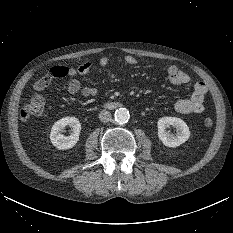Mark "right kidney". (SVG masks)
Here are the masks:
<instances>
[{"label": "right kidney", "instance_id": "1", "mask_svg": "<svg viewBox=\"0 0 233 233\" xmlns=\"http://www.w3.org/2000/svg\"><path fill=\"white\" fill-rule=\"evenodd\" d=\"M66 126L72 127V133L70 136H64L61 134ZM81 131V124L75 117L61 118L54 123L50 133V140L56 148L59 150H66L74 147L79 141V135Z\"/></svg>", "mask_w": 233, "mask_h": 233}]
</instances>
